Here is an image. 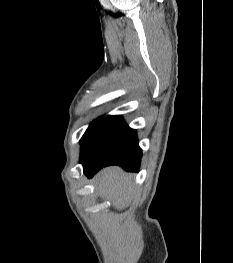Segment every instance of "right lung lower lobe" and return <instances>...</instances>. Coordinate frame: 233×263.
Returning <instances> with one entry per match:
<instances>
[{
	"mask_svg": "<svg viewBox=\"0 0 233 263\" xmlns=\"http://www.w3.org/2000/svg\"><path fill=\"white\" fill-rule=\"evenodd\" d=\"M80 143V162L89 178L109 165H119L128 172L140 168L142 151L136 131L120 115L104 117Z\"/></svg>",
	"mask_w": 233,
	"mask_h": 263,
	"instance_id": "98d812e1",
	"label": "right lung lower lobe"
}]
</instances>
